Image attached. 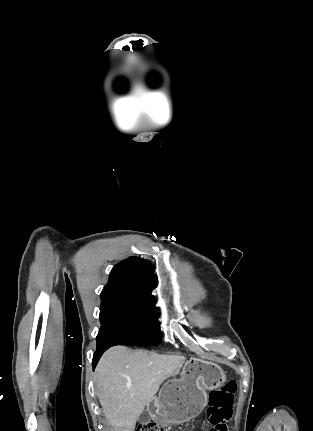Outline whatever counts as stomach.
Returning a JSON list of instances; mask_svg holds the SVG:
<instances>
[{
	"instance_id": "1",
	"label": "stomach",
	"mask_w": 313,
	"mask_h": 431,
	"mask_svg": "<svg viewBox=\"0 0 313 431\" xmlns=\"http://www.w3.org/2000/svg\"><path fill=\"white\" fill-rule=\"evenodd\" d=\"M226 381L223 369L210 361L191 358L179 379L166 382L151 404L152 417L162 425H177L198 416L207 403V390Z\"/></svg>"
}]
</instances>
